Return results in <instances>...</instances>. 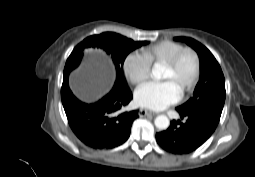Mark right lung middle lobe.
I'll return each instance as SVG.
<instances>
[{"label":"right lung middle lobe","instance_id":"1","mask_svg":"<svg viewBox=\"0 0 255 177\" xmlns=\"http://www.w3.org/2000/svg\"><path fill=\"white\" fill-rule=\"evenodd\" d=\"M147 41H133L127 37L113 32H105L100 35H93L86 38L83 42L77 45L71 55L66 61L64 74H69L71 70L76 68L82 57L83 49L86 47L102 48L108 55H110L116 67V81L114 85H118L121 89H128L124 74L123 64L127 55L142 45H146Z\"/></svg>","mask_w":255,"mask_h":177}]
</instances>
